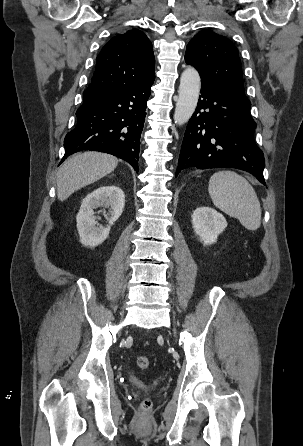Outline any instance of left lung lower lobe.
<instances>
[{"instance_id":"0a47b994","label":"left lung lower lobe","mask_w":303,"mask_h":446,"mask_svg":"<svg viewBox=\"0 0 303 446\" xmlns=\"http://www.w3.org/2000/svg\"><path fill=\"white\" fill-rule=\"evenodd\" d=\"M200 98L185 132L176 176L189 167H232L251 173L265 185L264 155L254 141L251 103L206 80Z\"/></svg>"}]
</instances>
